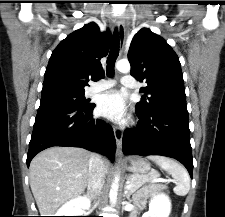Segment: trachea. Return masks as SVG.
I'll return each instance as SVG.
<instances>
[{
    "label": "trachea",
    "instance_id": "obj_1",
    "mask_svg": "<svg viewBox=\"0 0 225 217\" xmlns=\"http://www.w3.org/2000/svg\"><path fill=\"white\" fill-rule=\"evenodd\" d=\"M118 54H119V36L117 30H115L110 48V53L107 58L106 72L109 77H112L114 75V65L118 57Z\"/></svg>",
    "mask_w": 225,
    "mask_h": 217
}]
</instances>
